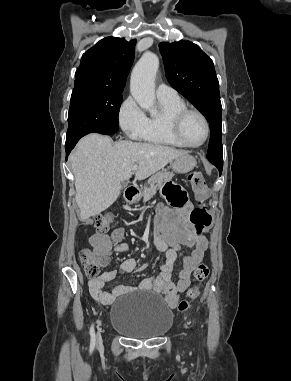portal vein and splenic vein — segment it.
I'll return each instance as SVG.
<instances>
[{
    "instance_id": "18ae733b",
    "label": "portal vein and splenic vein",
    "mask_w": 291,
    "mask_h": 381,
    "mask_svg": "<svg viewBox=\"0 0 291 381\" xmlns=\"http://www.w3.org/2000/svg\"><path fill=\"white\" fill-rule=\"evenodd\" d=\"M137 169H138V165L135 164V165L133 166L132 170H133V171H136Z\"/></svg>"
}]
</instances>
